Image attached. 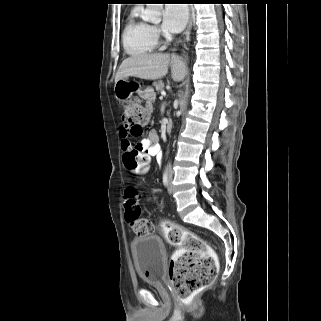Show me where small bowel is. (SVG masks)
Returning a JSON list of instances; mask_svg holds the SVG:
<instances>
[{
	"instance_id": "c3829d8e",
	"label": "small bowel",
	"mask_w": 321,
	"mask_h": 321,
	"mask_svg": "<svg viewBox=\"0 0 321 321\" xmlns=\"http://www.w3.org/2000/svg\"><path fill=\"white\" fill-rule=\"evenodd\" d=\"M144 98L151 102L152 97L148 94L144 95ZM130 130L125 125L120 128V137H121V148L124 152V155L127 153L138 150L145 155H147L150 159L152 156H158L160 153V148L158 144L159 136L157 131L151 130L148 132L145 138H143L140 142L133 145L129 139Z\"/></svg>"
}]
</instances>
